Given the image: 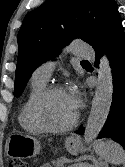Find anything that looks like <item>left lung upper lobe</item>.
I'll list each match as a JSON object with an SVG mask.
<instances>
[{"mask_svg":"<svg viewBox=\"0 0 125 167\" xmlns=\"http://www.w3.org/2000/svg\"><path fill=\"white\" fill-rule=\"evenodd\" d=\"M119 17L114 0H46L28 12L18 33L14 96L21 95L38 66L58 56L73 39L94 46Z\"/></svg>","mask_w":125,"mask_h":167,"instance_id":"left-lung-upper-lobe-1","label":"left lung upper lobe"}]
</instances>
